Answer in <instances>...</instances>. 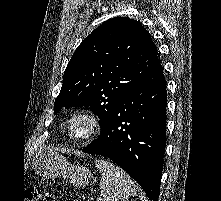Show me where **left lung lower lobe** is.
Instances as JSON below:
<instances>
[{"instance_id":"obj_1","label":"left lung lower lobe","mask_w":221,"mask_h":201,"mask_svg":"<svg viewBox=\"0 0 221 201\" xmlns=\"http://www.w3.org/2000/svg\"><path fill=\"white\" fill-rule=\"evenodd\" d=\"M166 81L160 65L115 107L99 137L82 151L122 167L157 201L166 143Z\"/></svg>"}]
</instances>
